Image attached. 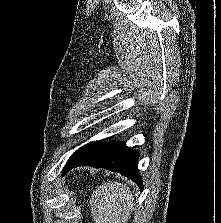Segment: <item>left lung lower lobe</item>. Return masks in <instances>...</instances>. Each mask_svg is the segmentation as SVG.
I'll use <instances>...</instances> for the list:
<instances>
[{
  "label": "left lung lower lobe",
  "mask_w": 221,
  "mask_h": 223,
  "mask_svg": "<svg viewBox=\"0 0 221 223\" xmlns=\"http://www.w3.org/2000/svg\"><path fill=\"white\" fill-rule=\"evenodd\" d=\"M139 153L119 142L92 143L68 165L65 173L77 166L105 168L119 172L136 182L142 189V179L137 168Z\"/></svg>",
  "instance_id": "0a47b994"
}]
</instances>
